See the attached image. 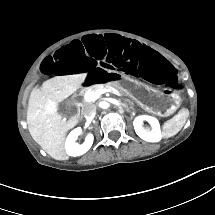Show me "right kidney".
<instances>
[{
  "mask_svg": "<svg viewBox=\"0 0 215 215\" xmlns=\"http://www.w3.org/2000/svg\"><path fill=\"white\" fill-rule=\"evenodd\" d=\"M82 129L80 127L75 128L70 132L68 135L66 142H65V149L66 153L69 156H81L85 154L92 146L94 137L92 134H88L85 138V141L83 144L76 143V138L81 134Z\"/></svg>",
  "mask_w": 215,
  "mask_h": 215,
  "instance_id": "1",
  "label": "right kidney"
}]
</instances>
